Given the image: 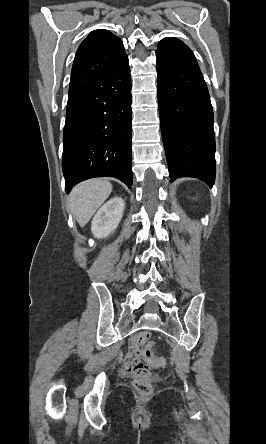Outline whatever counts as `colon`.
Masks as SVG:
<instances>
[{
    "label": "colon",
    "instance_id": "obj_1",
    "mask_svg": "<svg viewBox=\"0 0 266 444\" xmlns=\"http://www.w3.org/2000/svg\"><path fill=\"white\" fill-rule=\"evenodd\" d=\"M141 354L149 366L162 367L166 364L164 358L156 355L155 343L153 341H147L144 344ZM133 385L136 391L142 395H148L152 391L151 383L143 378L136 379Z\"/></svg>",
    "mask_w": 266,
    "mask_h": 444
}]
</instances>
